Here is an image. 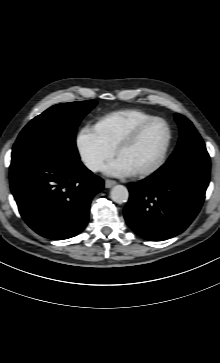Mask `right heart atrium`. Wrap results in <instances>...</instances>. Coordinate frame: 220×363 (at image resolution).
<instances>
[{
    "instance_id": "1",
    "label": "right heart atrium",
    "mask_w": 220,
    "mask_h": 363,
    "mask_svg": "<svg viewBox=\"0 0 220 363\" xmlns=\"http://www.w3.org/2000/svg\"><path fill=\"white\" fill-rule=\"evenodd\" d=\"M76 148L80 160L92 172L100 170L114 153L113 148L103 140L93 126H84L79 130Z\"/></svg>"
}]
</instances>
